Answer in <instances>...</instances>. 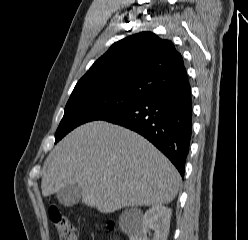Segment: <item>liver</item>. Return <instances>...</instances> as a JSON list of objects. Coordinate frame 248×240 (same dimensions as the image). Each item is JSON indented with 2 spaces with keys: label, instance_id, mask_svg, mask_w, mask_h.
Masks as SVG:
<instances>
[{
  "label": "liver",
  "instance_id": "6515ba94",
  "mask_svg": "<svg viewBox=\"0 0 248 240\" xmlns=\"http://www.w3.org/2000/svg\"><path fill=\"white\" fill-rule=\"evenodd\" d=\"M180 184L176 168L149 141L118 125L94 121L74 129L49 154L41 189L47 197L78 185L84 204L112 213L168 204Z\"/></svg>",
  "mask_w": 248,
  "mask_h": 240
}]
</instances>
